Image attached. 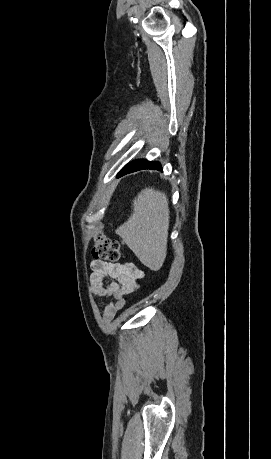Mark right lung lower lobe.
<instances>
[{"instance_id":"98d812e1","label":"right lung lower lobe","mask_w":271,"mask_h":459,"mask_svg":"<svg viewBox=\"0 0 271 459\" xmlns=\"http://www.w3.org/2000/svg\"><path fill=\"white\" fill-rule=\"evenodd\" d=\"M142 169L162 170L159 162H150L145 159L135 160L126 165L119 173L118 177Z\"/></svg>"}]
</instances>
